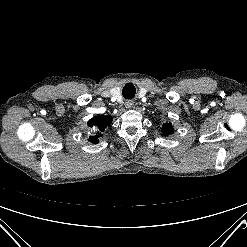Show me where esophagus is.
<instances>
[{
	"label": "esophagus",
	"mask_w": 247,
	"mask_h": 247,
	"mask_svg": "<svg viewBox=\"0 0 247 247\" xmlns=\"http://www.w3.org/2000/svg\"><path fill=\"white\" fill-rule=\"evenodd\" d=\"M133 104H134L133 101L128 100V101H126V103H125V107L128 108V109H130V108L133 107Z\"/></svg>",
	"instance_id": "esophagus-1"
}]
</instances>
